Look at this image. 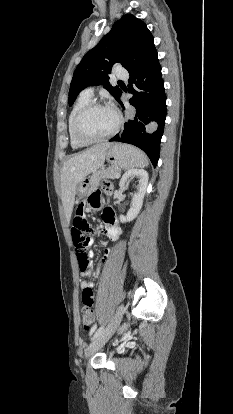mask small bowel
Here are the masks:
<instances>
[{
	"label": "small bowel",
	"mask_w": 233,
	"mask_h": 414,
	"mask_svg": "<svg viewBox=\"0 0 233 414\" xmlns=\"http://www.w3.org/2000/svg\"><path fill=\"white\" fill-rule=\"evenodd\" d=\"M100 203H101L100 194L96 193L90 198V201H89L90 206L88 209L98 208L100 206ZM103 220H104V226L99 231H102L103 233H105L111 240L116 241L121 234V228L119 227L115 219L114 212L111 208H107L104 211ZM108 255H109V251L105 250L104 257L100 259L97 264V271H96L95 277L103 269L105 265V260L108 257ZM80 273L82 277H85V278L91 277L92 276L91 264L87 270L80 269ZM93 286H94V280H84L81 283L82 290L87 287L93 288ZM92 331H94V327Z\"/></svg>",
	"instance_id": "c3829d8e"
}]
</instances>
